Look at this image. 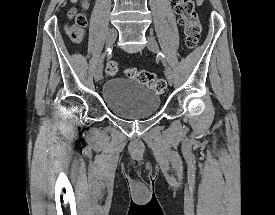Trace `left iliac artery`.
<instances>
[{
  "label": "left iliac artery",
  "instance_id": "obj_1",
  "mask_svg": "<svg viewBox=\"0 0 275 215\" xmlns=\"http://www.w3.org/2000/svg\"><path fill=\"white\" fill-rule=\"evenodd\" d=\"M159 55H160L161 57H163V58H164V55H163V53H161V52H160V53H159Z\"/></svg>",
  "mask_w": 275,
  "mask_h": 215
}]
</instances>
